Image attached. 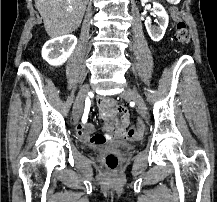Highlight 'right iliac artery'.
Masks as SVG:
<instances>
[{
	"label": "right iliac artery",
	"mask_w": 217,
	"mask_h": 202,
	"mask_svg": "<svg viewBox=\"0 0 217 202\" xmlns=\"http://www.w3.org/2000/svg\"><path fill=\"white\" fill-rule=\"evenodd\" d=\"M90 100L91 99L89 97L85 100V110H84V113L82 116V122L83 123H86L90 109L92 108V101H90Z\"/></svg>",
	"instance_id": "right-iliac-artery-1"
}]
</instances>
